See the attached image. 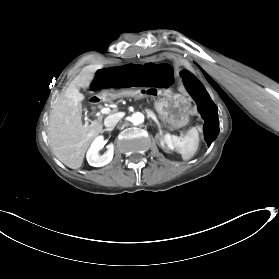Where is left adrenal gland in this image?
<instances>
[{
  "mask_svg": "<svg viewBox=\"0 0 279 279\" xmlns=\"http://www.w3.org/2000/svg\"><path fill=\"white\" fill-rule=\"evenodd\" d=\"M154 121L156 122L157 126H158V129H159V132H161V124L160 122L155 118Z\"/></svg>",
  "mask_w": 279,
  "mask_h": 279,
  "instance_id": "obj_1",
  "label": "left adrenal gland"
}]
</instances>
